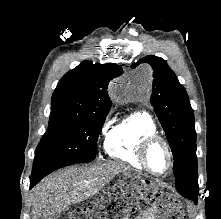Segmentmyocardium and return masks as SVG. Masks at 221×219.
<instances>
[{"mask_svg": "<svg viewBox=\"0 0 221 219\" xmlns=\"http://www.w3.org/2000/svg\"><path fill=\"white\" fill-rule=\"evenodd\" d=\"M155 144L163 145L166 152H167V155H168L169 165H168L167 170L164 173L155 172L152 169V167L150 166L149 161H148V152H149L150 148ZM137 155H138V158H139L141 164L144 166V168L150 174H152L153 176H156V177H163V176L169 174L173 168V165H174V155H173L171 145L169 144V142L165 138H163L162 136H160L158 134H151V135L144 137L138 145Z\"/></svg>", "mask_w": 221, "mask_h": 219, "instance_id": "f54148a6", "label": "myocardium"}]
</instances>
